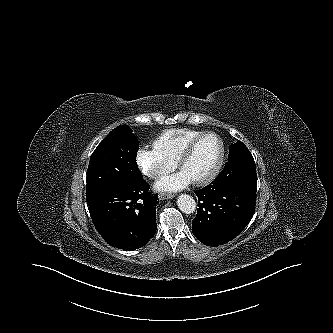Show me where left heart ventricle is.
I'll use <instances>...</instances> for the list:
<instances>
[{
  "mask_svg": "<svg viewBox=\"0 0 333 333\" xmlns=\"http://www.w3.org/2000/svg\"><path fill=\"white\" fill-rule=\"evenodd\" d=\"M220 151L218 140L213 136L202 139L194 152L182 165L181 170L192 180H198L210 172Z\"/></svg>",
  "mask_w": 333,
  "mask_h": 333,
  "instance_id": "left-heart-ventricle-1",
  "label": "left heart ventricle"
}]
</instances>
